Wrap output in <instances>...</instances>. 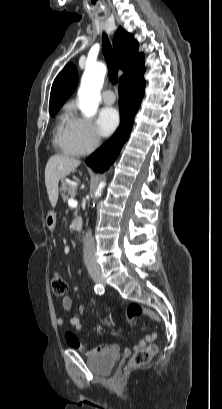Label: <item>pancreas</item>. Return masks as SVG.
<instances>
[{"label":"pancreas","mask_w":222,"mask_h":409,"mask_svg":"<svg viewBox=\"0 0 222 409\" xmlns=\"http://www.w3.org/2000/svg\"><path fill=\"white\" fill-rule=\"evenodd\" d=\"M60 191L62 192V198L64 201L68 200L69 197L74 198L76 195V187L64 180L61 181Z\"/></svg>","instance_id":"obj_1"}]
</instances>
